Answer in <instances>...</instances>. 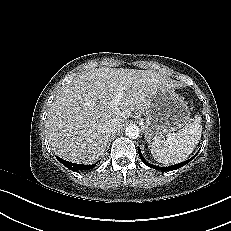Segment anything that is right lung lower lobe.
I'll return each mask as SVG.
<instances>
[{
	"mask_svg": "<svg viewBox=\"0 0 231 231\" xmlns=\"http://www.w3.org/2000/svg\"><path fill=\"white\" fill-rule=\"evenodd\" d=\"M57 159H58L65 167H67L68 169H70V170H72V171L89 170V169L94 168L95 165H96V163H95V164H92V165L75 164V163H71V162L65 161V160L61 159L60 157H57Z\"/></svg>",
	"mask_w": 231,
	"mask_h": 231,
	"instance_id": "98d812e1",
	"label": "right lung lower lobe"
}]
</instances>
